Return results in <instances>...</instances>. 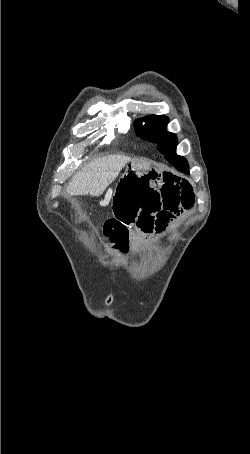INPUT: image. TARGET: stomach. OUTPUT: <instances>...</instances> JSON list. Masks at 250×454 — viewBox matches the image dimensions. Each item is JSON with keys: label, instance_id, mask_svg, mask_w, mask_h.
I'll list each match as a JSON object with an SVG mask.
<instances>
[{"label": "stomach", "instance_id": "stomach-1", "mask_svg": "<svg viewBox=\"0 0 250 454\" xmlns=\"http://www.w3.org/2000/svg\"><path fill=\"white\" fill-rule=\"evenodd\" d=\"M122 176H157L156 172L146 164L136 161L129 162Z\"/></svg>", "mask_w": 250, "mask_h": 454}]
</instances>
